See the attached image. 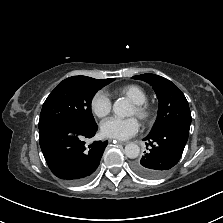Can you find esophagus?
Here are the masks:
<instances>
[{
  "instance_id": "obj_1",
  "label": "esophagus",
  "mask_w": 223,
  "mask_h": 223,
  "mask_svg": "<svg viewBox=\"0 0 223 223\" xmlns=\"http://www.w3.org/2000/svg\"><path fill=\"white\" fill-rule=\"evenodd\" d=\"M110 142H118L119 144H122V145H125L127 142L126 141H120V140H118V141H116V140H109Z\"/></svg>"
}]
</instances>
